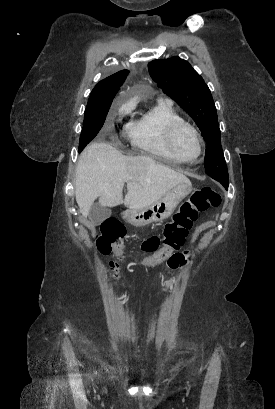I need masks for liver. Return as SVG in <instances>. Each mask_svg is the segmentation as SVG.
I'll list each match as a JSON object with an SVG mask.
<instances>
[{
    "instance_id": "1",
    "label": "liver",
    "mask_w": 275,
    "mask_h": 409,
    "mask_svg": "<svg viewBox=\"0 0 275 409\" xmlns=\"http://www.w3.org/2000/svg\"><path fill=\"white\" fill-rule=\"evenodd\" d=\"M179 182H189V178L150 156H124L107 142H92L79 156L75 196L82 217H88L96 198L101 207H117L124 202L128 209H144Z\"/></svg>"
}]
</instances>
